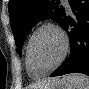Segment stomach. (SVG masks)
Instances as JSON below:
<instances>
[{"label": "stomach", "mask_w": 89, "mask_h": 89, "mask_svg": "<svg viewBox=\"0 0 89 89\" xmlns=\"http://www.w3.org/2000/svg\"><path fill=\"white\" fill-rule=\"evenodd\" d=\"M44 89H69L68 84L63 79L59 80L58 83L52 84Z\"/></svg>", "instance_id": "obj_1"}]
</instances>
